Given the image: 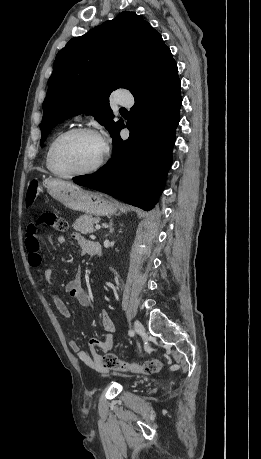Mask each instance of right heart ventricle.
Returning a JSON list of instances; mask_svg holds the SVG:
<instances>
[{
    "instance_id": "1",
    "label": "right heart ventricle",
    "mask_w": 261,
    "mask_h": 459,
    "mask_svg": "<svg viewBox=\"0 0 261 459\" xmlns=\"http://www.w3.org/2000/svg\"><path fill=\"white\" fill-rule=\"evenodd\" d=\"M51 143H52V142H51ZM51 143H50V145H51ZM50 145H49V147H48V149H47V153H46V166H47V168H48V163H47V160H48V152H49ZM48 169H49V168H48Z\"/></svg>"
}]
</instances>
